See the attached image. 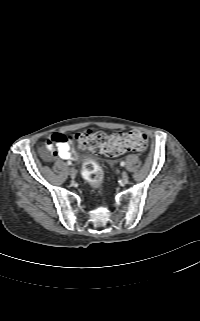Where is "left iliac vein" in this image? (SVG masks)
I'll use <instances>...</instances> for the list:
<instances>
[{
    "instance_id": "left-iliac-vein-1",
    "label": "left iliac vein",
    "mask_w": 200,
    "mask_h": 321,
    "mask_svg": "<svg viewBox=\"0 0 200 321\" xmlns=\"http://www.w3.org/2000/svg\"><path fill=\"white\" fill-rule=\"evenodd\" d=\"M128 179H129V177H128L127 172H126V171H123V173H122V180H123V182H127Z\"/></svg>"
}]
</instances>
